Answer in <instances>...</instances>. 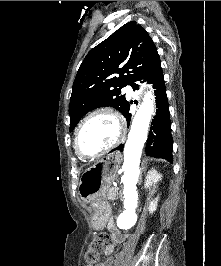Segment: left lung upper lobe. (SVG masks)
I'll return each instance as SVG.
<instances>
[{"instance_id": "obj_1", "label": "left lung upper lobe", "mask_w": 221, "mask_h": 266, "mask_svg": "<svg viewBox=\"0 0 221 266\" xmlns=\"http://www.w3.org/2000/svg\"><path fill=\"white\" fill-rule=\"evenodd\" d=\"M160 63L147 31L131 21L120 27L85 57L75 77L69 104L70 131L89 111L112 106L122 114L128 104L121 89ZM119 74L113 77V74Z\"/></svg>"}]
</instances>
